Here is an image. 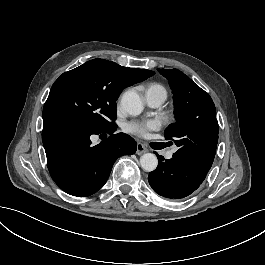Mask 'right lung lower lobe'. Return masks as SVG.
<instances>
[{"instance_id":"obj_1","label":"right lung lower lobe","mask_w":265,"mask_h":265,"mask_svg":"<svg viewBox=\"0 0 265 265\" xmlns=\"http://www.w3.org/2000/svg\"><path fill=\"white\" fill-rule=\"evenodd\" d=\"M116 130V129H115ZM97 133L61 116H43L42 141L52 179L66 193L86 197L97 192L107 181L117 158L134 154L137 143L124 133ZM93 146L90 136H106Z\"/></svg>"}]
</instances>
